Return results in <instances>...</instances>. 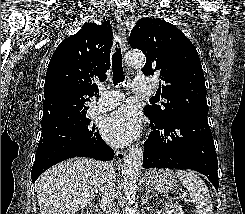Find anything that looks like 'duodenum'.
I'll return each instance as SVG.
<instances>
[{"mask_svg":"<svg viewBox=\"0 0 245 214\" xmlns=\"http://www.w3.org/2000/svg\"><path fill=\"white\" fill-rule=\"evenodd\" d=\"M88 214H101V212L96 208H91Z\"/></svg>","mask_w":245,"mask_h":214,"instance_id":"410a0bca","label":"duodenum"}]
</instances>
